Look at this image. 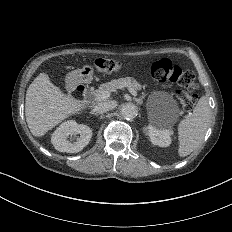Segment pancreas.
Listing matches in <instances>:
<instances>
[{
    "mask_svg": "<svg viewBox=\"0 0 232 232\" xmlns=\"http://www.w3.org/2000/svg\"><path fill=\"white\" fill-rule=\"evenodd\" d=\"M121 87H131L136 91L142 89V85L139 84L133 77H125L114 79L108 83L101 84L99 88L92 93L94 97L97 98V96L103 91H108L109 93H111Z\"/></svg>",
    "mask_w": 232,
    "mask_h": 232,
    "instance_id": "obj_1",
    "label": "pancreas"
}]
</instances>
